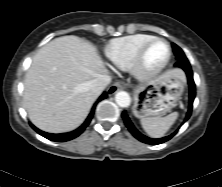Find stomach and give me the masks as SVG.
<instances>
[{
	"instance_id": "stomach-1",
	"label": "stomach",
	"mask_w": 222,
	"mask_h": 187,
	"mask_svg": "<svg viewBox=\"0 0 222 187\" xmlns=\"http://www.w3.org/2000/svg\"><path fill=\"white\" fill-rule=\"evenodd\" d=\"M184 87L185 77L181 72L164 73L136 90L132 107L133 114L137 118L165 115L177 105Z\"/></svg>"
}]
</instances>
